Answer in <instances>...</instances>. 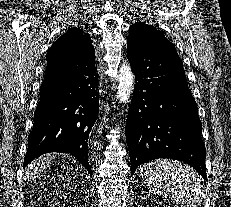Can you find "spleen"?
Segmentation results:
<instances>
[{"label":"spleen","mask_w":231,"mask_h":207,"mask_svg":"<svg viewBox=\"0 0 231 207\" xmlns=\"http://www.w3.org/2000/svg\"><path fill=\"white\" fill-rule=\"evenodd\" d=\"M144 184L155 194L169 196L182 207H197L203 198L202 185L194 172L179 162L151 161L139 169Z\"/></svg>","instance_id":"obj_1"}]
</instances>
